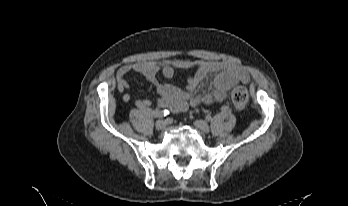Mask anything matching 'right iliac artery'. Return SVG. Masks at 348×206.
<instances>
[{
	"instance_id": "1",
	"label": "right iliac artery",
	"mask_w": 348,
	"mask_h": 206,
	"mask_svg": "<svg viewBox=\"0 0 348 206\" xmlns=\"http://www.w3.org/2000/svg\"><path fill=\"white\" fill-rule=\"evenodd\" d=\"M133 106L137 107L138 110L145 111V113L147 114H152V116L156 118H162L169 114V111L166 109L161 111L150 109L148 108V106L145 105V103H141L140 100L133 101Z\"/></svg>"
}]
</instances>
